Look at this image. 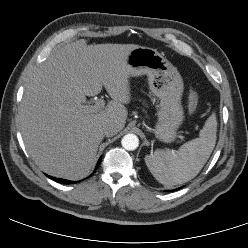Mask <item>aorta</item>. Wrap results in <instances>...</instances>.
<instances>
[{"label":"aorta","instance_id":"obj_1","mask_svg":"<svg viewBox=\"0 0 248 248\" xmlns=\"http://www.w3.org/2000/svg\"><path fill=\"white\" fill-rule=\"evenodd\" d=\"M122 147L128 151L135 150L139 145V139L135 134H127L121 140Z\"/></svg>","mask_w":248,"mask_h":248}]
</instances>
